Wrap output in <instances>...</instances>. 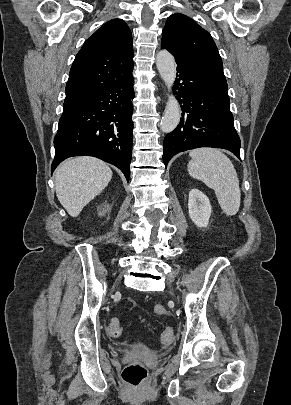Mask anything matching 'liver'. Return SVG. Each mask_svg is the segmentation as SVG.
<instances>
[{
    "mask_svg": "<svg viewBox=\"0 0 291 405\" xmlns=\"http://www.w3.org/2000/svg\"><path fill=\"white\" fill-rule=\"evenodd\" d=\"M112 170L103 161L80 156L64 161L55 172L56 195L72 217L99 195L112 178Z\"/></svg>",
    "mask_w": 291,
    "mask_h": 405,
    "instance_id": "liver-1",
    "label": "liver"
}]
</instances>
